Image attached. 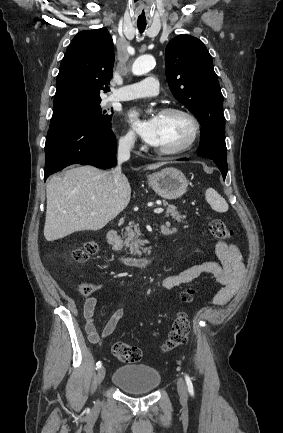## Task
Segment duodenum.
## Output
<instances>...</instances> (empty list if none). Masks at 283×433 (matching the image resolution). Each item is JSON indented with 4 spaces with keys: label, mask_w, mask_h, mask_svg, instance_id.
I'll return each instance as SVG.
<instances>
[{
    "label": "duodenum",
    "mask_w": 283,
    "mask_h": 433,
    "mask_svg": "<svg viewBox=\"0 0 283 433\" xmlns=\"http://www.w3.org/2000/svg\"><path fill=\"white\" fill-rule=\"evenodd\" d=\"M160 233L161 235H167L169 234V230L168 228H166L165 226H161L160 228ZM107 244L111 249H117L120 247V236L118 234L117 231L115 230H111L107 233ZM152 258V255H148L145 257H137V258H122V261L132 267H136V268H142L144 266H146L150 260Z\"/></svg>",
    "instance_id": "duodenum-1"
}]
</instances>
